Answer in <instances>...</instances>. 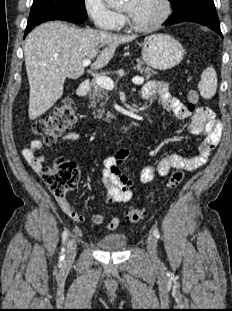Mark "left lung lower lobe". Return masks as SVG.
<instances>
[{
  "instance_id": "obj_1",
  "label": "left lung lower lobe",
  "mask_w": 232,
  "mask_h": 311,
  "mask_svg": "<svg viewBox=\"0 0 232 311\" xmlns=\"http://www.w3.org/2000/svg\"><path fill=\"white\" fill-rule=\"evenodd\" d=\"M173 10V14L163 25L195 22L211 28L222 36L213 0H183Z\"/></svg>"
}]
</instances>
